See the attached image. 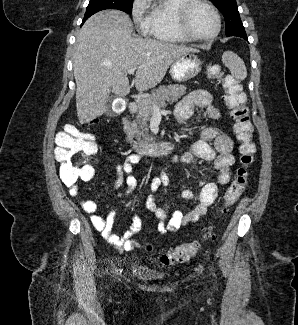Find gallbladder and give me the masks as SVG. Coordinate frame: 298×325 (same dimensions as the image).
<instances>
[{"mask_svg": "<svg viewBox=\"0 0 298 325\" xmlns=\"http://www.w3.org/2000/svg\"><path fill=\"white\" fill-rule=\"evenodd\" d=\"M110 102H108V104H106V110H105V114H107V116H112L114 110L112 108V102L114 100V96H110L109 98Z\"/></svg>", "mask_w": 298, "mask_h": 325, "instance_id": "bac80fb5", "label": "gallbladder"}]
</instances>
